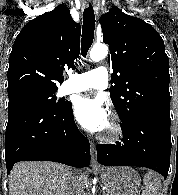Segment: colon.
Instances as JSON below:
<instances>
[{
	"label": "colon",
	"mask_w": 178,
	"mask_h": 195,
	"mask_svg": "<svg viewBox=\"0 0 178 195\" xmlns=\"http://www.w3.org/2000/svg\"><path fill=\"white\" fill-rule=\"evenodd\" d=\"M143 195H152V194L149 192H145Z\"/></svg>",
	"instance_id": "colon-1"
}]
</instances>
